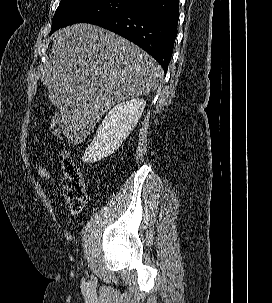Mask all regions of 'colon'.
Instances as JSON below:
<instances>
[{"mask_svg": "<svg viewBox=\"0 0 272 303\" xmlns=\"http://www.w3.org/2000/svg\"><path fill=\"white\" fill-rule=\"evenodd\" d=\"M51 134L58 136L61 133V121L59 117H53L50 122ZM62 168L64 173L62 193L72 214H78L86 200V186L82 172L68 152L62 156ZM35 174L41 180L47 181L52 177L50 167L42 162L34 166Z\"/></svg>", "mask_w": 272, "mask_h": 303, "instance_id": "1", "label": "colon"}]
</instances>
